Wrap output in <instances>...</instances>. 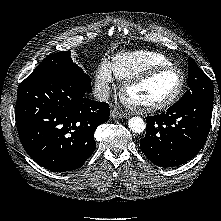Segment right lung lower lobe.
Here are the masks:
<instances>
[{
  "label": "right lung lower lobe",
  "instance_id": "98d812e1",
  "mask_svg": "<svg viewBox=\"0 0 221 221\" xmlns=\"http://www.w3.org/2000/svg\"><path fill=\"white\" fill-rule=\"evenodd\" d=\"M92 91L67 77H44L20 83L15 119L20 141L42 167L71 171L92 155L94 132L109 120L107 103L90 100Z\"/></svg>",
  "mask_w": 221,
  "mask_h": 221
}]
</instances>
